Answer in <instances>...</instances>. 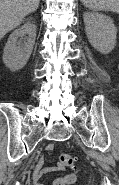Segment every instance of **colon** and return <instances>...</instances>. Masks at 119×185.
I'll list each match as a JSON object with an SVG mask.
<instances>
[{
    "label": "colon",
    "instance_id": "colon-1",
    "mask_svg": "<svg viewBox=\"0 0 119 185\" xmlns=\"http://www.w3.org/2000/svg\"><path fill=\"white\" fill-rule=\"evenodd\" d=\"M59 164L63 167L76 169V160L69 154H61L59 157Z\"/></svg>",
    "mask_w": 119,
    "mask_h": 185
}]
</instances>
